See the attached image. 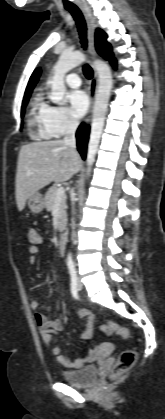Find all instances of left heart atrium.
<instances>
[{"mask_svg":"<svg viewBox=\"0 0 165 419\" xmlns=\"http://www.w3.org/2000/svg\"><path fill=\"white\" fill-rule=\"evenodd\" d=\"M68 102L71 113L77 117H83L89 107V99L83 90H74L68 94Z\"/></svg>","mask_w":165,"mask_h":419,"instance_id":"39dd6f15","label":"left heart atrium"}]
</instances>
